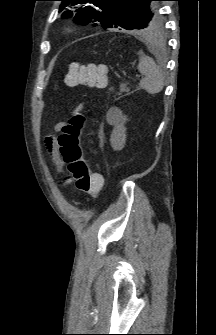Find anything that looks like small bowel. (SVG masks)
Here are the masks:
<instances>
[{"instance_id": "c3829d8e", "label": "small bowel", "mask_w": 216, "mask_h": 335, "mask_svg": "<svg viewBox=\"0 0 216 335\" xmlns=\"http://www.w3.org/2000/svg\"><path fill=\"white\" fill-rule=\"evenodd\" d=\"M70 86H72V85H70ZM81 108H82L81 106L77 107L76 110H75V114H77L81 110ZM62 125L63 124H59L57 126V129H59ZM45 144H46V149L49 152L51 158L53 159V161L55 162V164L57 165V167L61 168L62 167V162H61V160L58 157L55 138L54 137H48V138H46Z\"/></svg>"}]
</instances>
